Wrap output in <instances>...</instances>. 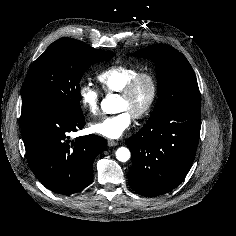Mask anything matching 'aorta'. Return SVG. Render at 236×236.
Listing matches in <instances>:
<instances>
[{"label":"aorta","instance_id":"762f6f07","mask_svg":"<svg viewBox=\"0 0 236 236\" xmlns=\"http://www.w3.org/2000/svg\"><path fill=\"white\" fill-rule=\"evenodd\" d=\"M120 97L116 94L108 95L101 103L102 110L108 114L118 112ZM116 158L121 162H126L130 158V151L126 147H120L116 151Z\"/></svg>","mask_w":236,"mask_h":236}]
</instances>
